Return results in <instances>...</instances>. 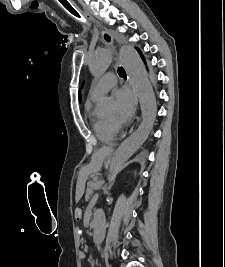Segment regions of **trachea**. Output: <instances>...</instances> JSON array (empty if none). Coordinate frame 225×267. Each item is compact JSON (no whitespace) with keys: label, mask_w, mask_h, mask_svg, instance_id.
Here are the masks:
<instances>
[{"label":"trachea","mask_w":225,"mask_h":267,"mask_svg":"<svg viewBox=\"0 0 225 267\" xmlns=\"http://www.w3.org/2000/svg\"><path fill=\"white\" fill-rule=\"evenodd\" d=\"M75 16H77V17H80L78 14H74ZM105 38L108 40L109 38H108V36H105ZM118 74H119V76H121V77H124L125 76V70H124V68L123 67H119L118 68Z\"/></svg>","instance_id":"3493384b"}]
</instances>
